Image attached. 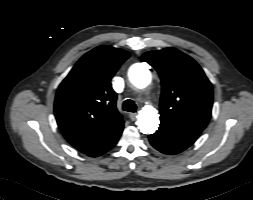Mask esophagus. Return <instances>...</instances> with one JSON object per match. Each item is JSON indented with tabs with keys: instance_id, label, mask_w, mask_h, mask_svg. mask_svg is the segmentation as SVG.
Instances as JSON below:
<instances>
[{
	"instance_id": "1",
	"label": "esophagus",
	"mask_w": 253,
	"mask_h": 200,
	"mask_svg": "<svg viewBox=\"0 0 253 200\" xmlns=\"http://www.w3.org/2000/svg\"><path fill=\"white\" fill-rule=\"evenodd\" d=\"M137 113H130L129 117L132 121H134L136 119Z\"/></svg>"
}]
</instances>
